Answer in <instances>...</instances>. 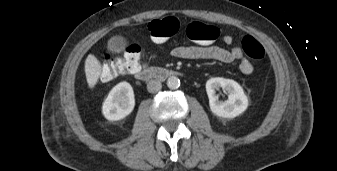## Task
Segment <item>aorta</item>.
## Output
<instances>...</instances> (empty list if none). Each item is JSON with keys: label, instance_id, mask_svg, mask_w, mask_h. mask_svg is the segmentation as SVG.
<instances>
[{"label": "aorta", "instance_id": "762f6f07", "mask_svg": "<svg viewBox=\"0 0 337 171\" xmlns=\"http://www.w3.org/2000/svg\"><path fill=\"white\" fill-rule=\"evenodd\" d=\"M167 86H168V88H170L172 90L179 88V86H180L179 78L176 77V76L169 77L167 79Z\"/></svg>", "mask_w": 337, "mask_h": 171}]
</instances>
